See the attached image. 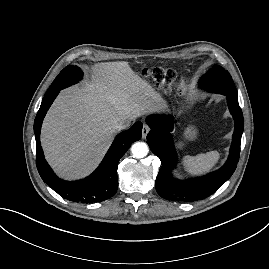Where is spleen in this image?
<instances>
[{
  "mask_svg": "<svg viewBox=\"0 0 269 269\" xmlns=\"http://www.w3.org/2000/svg\"><path fill=\"white\" fill-rule=\"evenodd\" d=\"M219 159L218 151H210L196 156H184L182 164L189 174L201 175L209 172L218 163Z\"/></svg>",
  "mask_w": 269,
  "mask_h": 269,
  "instance_id": "spleen-1",
  "label": "spleen"
}]
</instances>
